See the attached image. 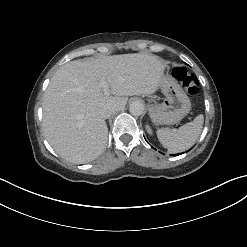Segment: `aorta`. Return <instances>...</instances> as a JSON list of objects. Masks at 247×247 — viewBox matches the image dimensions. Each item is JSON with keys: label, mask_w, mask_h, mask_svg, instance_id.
<instances>
[{"label": "aorta", "mask_w": 247, "mask_h": 247, "mask_svg": "<svg viewBox=\"0 0 247 247\" xmlns=\"http://www.w3.org/2000/svg\"><path fill=\"white\" fill-rule=\"evenodd\" d=\"M129 111L134 116H140L144 112V105L140 101H133L129 106Z\"/></svg>", "instance_id": "762f6f07"}]
</instances>
